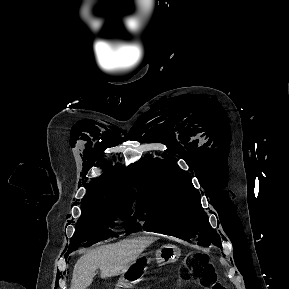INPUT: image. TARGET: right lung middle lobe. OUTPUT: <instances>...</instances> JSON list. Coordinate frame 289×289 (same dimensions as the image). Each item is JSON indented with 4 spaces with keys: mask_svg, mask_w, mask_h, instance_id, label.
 Instances as JSON below:
<instances>
[{
    "mask_svg": "<svg viewBox=\"0 0 289 289\" xmlns=\"http://www.w3.org/2000/svg\"><path fill=\"white\" fill-rule=\"evenodd\" d=\"M81 205L82 214L77 221L65 258L79 246H90L115 236L111 231L115 218L124 220L127 233L141 230L137 223V212L133 213L131 202H88Z\"/></svg>",
    "mask_w": 289,
    "mask_h": 289,
    "instance_id": "right-lung-middle-lobe-1",
    "label": "right lung middle lobe"
}]
</instances>
